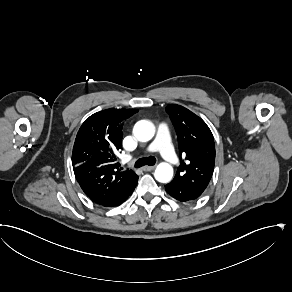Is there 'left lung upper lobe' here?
<instances>
[{
    "label": "left lung upper lobe",
    "mask_w": 292,
    "mask_h": 292,
    "mask_svg": "<svg viewBox=\"0 0 292 292\" xmlns=\"http://www.w3.org/2000/svg\"><path fill=\"white\" fill-rule=\"evenodd\" d=\"M166 112L177 133L180 155V166L172 182L203 193L215 165L213 135L199 116L183 106L168 105Z\"/></svg>",
    "instance_id": "5c2ea615"
}]
</instances>
